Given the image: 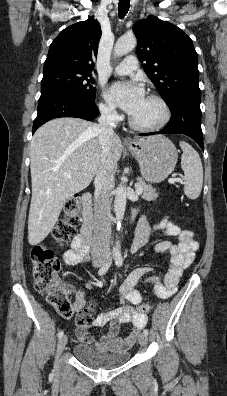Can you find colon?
I'll return each instance as SVG.
<instances>
[{"instance_id":"colon-1","label":"colon","mask_w":227,"mask_h":396,"mask_svg":"<svg viewBox=\"0 0 227 396\" xmlns=\"http://www.w3.org/2000/svg\"><path fill=\"white\" fill-rule=\"evenodd\" d=\"M82 199L79 195L70 197L64 205L63 219L60 220L53 231L56 243H67L76 233L80 221ZM34 286L37 291L44 294L48 303L63 317L73 314V307L68 292L59 278L60 262L54 252L45 244L33 246L30 252ZM140 313H148L149 304L142 303L137 307Z\"/></svg>"}]
</instances>
